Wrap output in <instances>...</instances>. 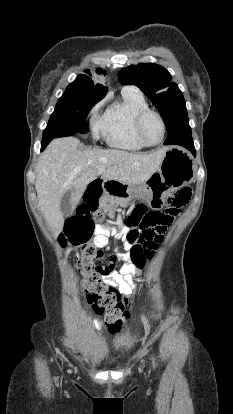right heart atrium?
Masks as SVG:
<instances>
[{
	"label": "right heart atrium",
	"instance_id": "1",
	"mask_svg": "<svg viewBox=\"0 0 233 414\" xmlns=\"http://www.w3.org/2000/svg\"><path fill=\"white\" fill-rule=\"evenodd\" d=\"M98 108H99V104H98V105H96V106L92 109V111H91V116H92V117H94V116L96 115Z\"/></svg>",
	"mask_w": 233,
	"mask_h": 414
}]
</instances>
